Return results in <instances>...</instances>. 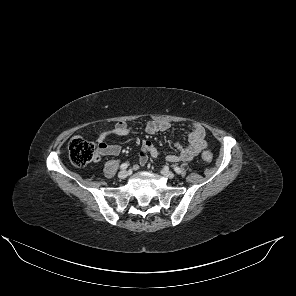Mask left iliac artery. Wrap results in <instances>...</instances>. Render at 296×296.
Here are the masks:
<instances>
[{"instance_id": "left-iliac-artery-1", "label": "left iliac artery", "mask_w": 296, "mask_h": 296, "mask_svg": "<svg viewBox=\"0 0 296 296\" xmlns=\"http://www.w3.org/2000/svg\"><path fill=\"white\" fill-rule=\"evenodd\" d=\"M174 171L177 173V174H180L182 172V170L179 168V167H175L174 166Z\"/></svg>"}]
</instances>
